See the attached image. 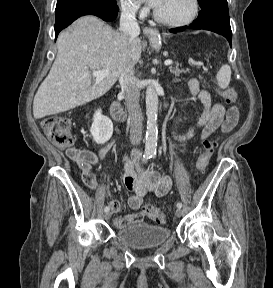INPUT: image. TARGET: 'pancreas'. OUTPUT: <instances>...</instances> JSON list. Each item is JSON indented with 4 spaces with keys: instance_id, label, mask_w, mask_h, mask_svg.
I'll list each match as a JSON object with an SVG mask.
<instances>
[{
    "instance_id": "1",
    "label": "pancreas",
    "mask_w": 273,
    "mask_h": 288,
    "mask_svg": "<svg viewBox=\"0 0 273 288\" xmlns=\"http://www.w3.org/2000/svg\"><path fill=\"white\" fill-rule=\"evenodd\" d=\"M169 71L171 72V73H173L174 75H175V81H178V78L177 77H179L180 76V74H182V73H186L187 71H188V69H179L177 66H175V67H169Z\"/></svg>"
}]
</instances>
